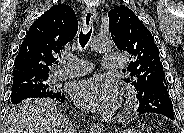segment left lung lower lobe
Returning <instances> with one entry per match:
<instances>
[{
  "label": "left lung lower lobe",
  "mask_w": 184,
  "mask_h": 133,
  "mask_svg": "<svg viewBox=\"0 0 184 133\" xmlns=\"http://www.w3.org/2000/svg\"><path fill=\"white\" fill-rule=\"evenodd\" d=\"M157 94L162 95L160 100H156ZM136 97L139 100V106L137 108L139 114L157 113L175 119L167 85L160 79L142 94H136Z\"/></svg>",
  "instance_id": "obj_1"
}]
</instances>
